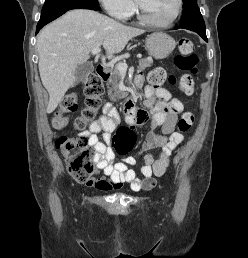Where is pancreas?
<instances>
[{
	"mask_svg": "<svg viewBox=\"0 0 248 258\" xmlns=\"http://www.w3.org/2000/svg\"><path fill=\"white\" fill-rule=\"evenodd\" d=\"M153 64V59L152 58H145L141 59L139 61V68L140 69H145L148 67H151ZM111 78L108 81V84L111 86L108 90V95L111 101H117L118 99L121 98V91L118 89V81L120 79V72L115 66L114 68L111 69Z\"/></svg>",
	"mask_w": 248,
	"mask_h": 258,
	"instance_id": "1",
	"label": "pancreas"
}]
</instances>
